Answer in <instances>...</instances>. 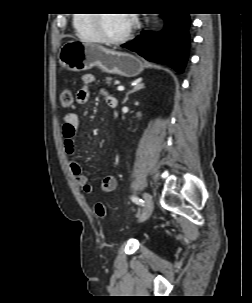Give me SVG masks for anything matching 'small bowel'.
Segmentation results:
<instances>
[{
    "mask_svg": "<svg viewBox=\"0 0 252 303\" xmlns=\"http://www.w3.org/2000/svg\"><path fill=\"white\" fill-rule=\"evenodd\" d=\"M95 82V76L91 73H86L82 76V84L80 89L76 93V102L78 104H86L90 98V87ZM105 102L111 107V105L116 106V99L107 92H104ZM80 129V121L77 115L73 112H69L64 117V123L62 125V135H63V148L65 152L73 156L76 149L75 137ZM70 171L76 181V183L81 187L82 191L90 195L94 192L93 185L88 181L87 176L83 173L82 167L75 159L69 160ZM117 186V180L114 175L105 176L100 182V190L103 193H109L115 190Z\"/></svg>",
    "mask_w": 252,
    "mask_h": 303,
    "instance_id": "small-bowel-1",
    "label": "small bowel"
}]
</instances>
